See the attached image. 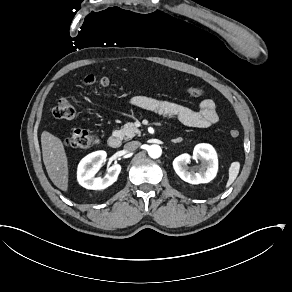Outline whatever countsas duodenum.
<instances>
[{
  "label": "duodenum",
  "instance_id": "1",
  "mask_svg": "<svg viewBox=\"0 0 292 292\" xmlns=\"http://www.w3.org/2000/svg\"><path fill=\"white\" fill-rule=\"evenodd\" d=\"M108 145L112 149H117L121 145V139L118 135H112L108 138Z\"/></svg>",
  "mask_w": 292,
  "mask_h": 292
}]
</instances>
